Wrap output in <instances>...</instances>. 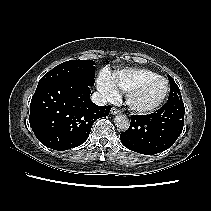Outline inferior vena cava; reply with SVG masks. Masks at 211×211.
<instances>
[{
    "mask_svg": "<svg viewBox=\"0 0 211 211\" xmlns=\"http://www.w3.org/2000/svg\"><path fill=\"white\" fill-rule=\"evenodd\" d=\"M91 100L93 103H95L96 105H99V106H104L107 104L106 97L99 92H94L91 95Z\"/></svg>",
    "mask_w": 211,
    "mask_h": 211,
    "instance_id": "obj_1",
    "label": "inferior vena cava"
}]
</instances>
